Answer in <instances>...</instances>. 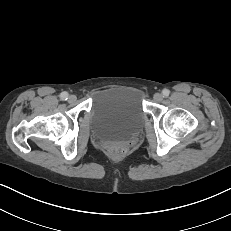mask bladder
<instances>
[{
    "label": "bladder",
    "mask_w": 231,
    "mask_h": 231,
    "mask_svg": "<svg viewBox=\"0 0 231 231\" xmlns=\"http://www.w3.org/2000/svg\"><path fill=\"white\" fill-rule=\"evenodd\" d=\"M145 116L143 95L139 89L107 88L92 98L90 130L102 142L126 141L139 133Z\"/></svg>",
    "instance_id": "bladder-1"
}]
</instances>
